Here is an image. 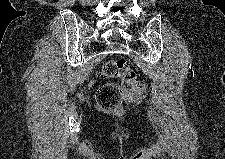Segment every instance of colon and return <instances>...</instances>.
<instances>
[{"label": "colon", "mask_w": 225, "mask_h": 159, "mask_svg": "<svg viewBox=\"0 0 225 159\" xmlns=\"http://www.w3.org/2000/svg\"><path fill=\"white\" fill-rule=\"evenodd\" d=\"M103 77L120 80V83H106L97 92V103L104 111L120 109L125 101L136 102L142 98L145 83L137 78L135 70L121 58L106 61L102 68Z\"/></svg>", "instance_id": "colon-1"}]
</instances>
